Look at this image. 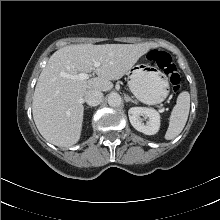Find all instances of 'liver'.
<instances>
[{"instance_id":"obj_1","label":"liver","mask_w":220,"mask_h":220,"mask_svg":"<svg viewBox=\"0 0 220 220\" xmlns=\"http://www.w3.org/2000/svg\"><path fill=\"white\" fill-rule=\"evenodd\" d=\"M155 43L76 44L52 54L43 68L33 95L32 113L40 134L59 147L76 144L81 136L84 94L87 90L109 91L112 80L128 73ZM95 62H100L98 68ZM95 72L97 77L78 80L62 76Z\"/></svg>"}]
</instances>
